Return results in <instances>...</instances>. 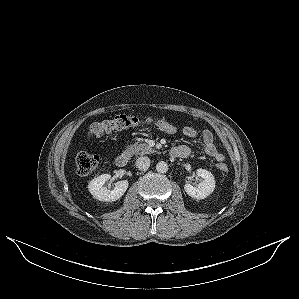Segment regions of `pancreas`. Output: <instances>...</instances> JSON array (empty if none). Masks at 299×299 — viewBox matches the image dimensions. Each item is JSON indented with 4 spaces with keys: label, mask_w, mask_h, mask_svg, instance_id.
<instances>
[{
    "label": "pancreas",
    "mask_w": 299,
    "mask_h": 299,
    "mask_svg": "<svg viewBox=\"0 0 299 299\" xmlns=\"http://www.w3.org/2000/svg\"><path fill=\"white\" fill-rule=\"evenodd\" d=\"M154 152V149L149 147L146 143H134L129 145L125 153L129 155H144V154H151Z\"/></svg>",
    "instance_id": "pancreas-1"
}]
</instances>
